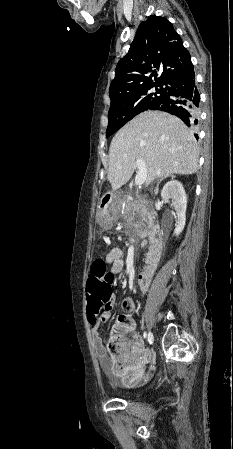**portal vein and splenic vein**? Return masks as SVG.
<instances>
[{"instance_id": "18ae733b", "label": "portal vein and splenic vein", "mask_w": 233, "mask_h": 449, "mask_svg": "<svg viewBox=\"0 0 233 449\" xmlns=\"http://www.w3.org/2000/svg\"><path fill=\"white\" fill-rule=\"evenodd\" d=\"M136 165L138 167V172L135 177V185H142L147 178V168L145 162L139 158L136 160Z\"/></svg>"}]
</instances>
